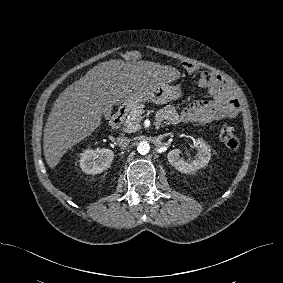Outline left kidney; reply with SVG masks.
I'll return each instance as SVG.
<instances>
[{
    "label": "left kidney",
    "mask_w": 283,
    "mask_h": 283,
    "mask_svg": "<svg viewBox=\"0 0 283 283\" xmlns=\"http://www.w3.org/2000/svg\"><path fill=\"white\" fill-rule=\"evenodd\" d=\"M194 147L197 149V154L193 161L185 162L180 156L182 151L180 149H174L168 153L167 158L169 163L183 173H192L206 166L211 159L210 147L201 138L194 141Z\"/></svg>",
    "instance_id": "obj_1"
}]
</instances>
